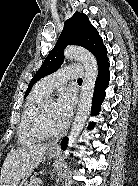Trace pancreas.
<instances>
[{
	"label": "pancreas",
	"mask_w": 138,
	"mask_h": 186,
	"mask_svg": "<svg viewBox=\"0 0 138 186\" xmlns=\"http://www.w3.org/2000/svg\"><path fill=\"white\" fill-rule=\"evenodd\" d=\"M41 184V181H40V179H32L31 181H30V183L28 184V186H41L40 185Z\"/></svg>",
	"instance_id": "cf45deb5"
}]
</instances>
